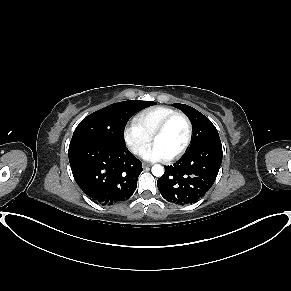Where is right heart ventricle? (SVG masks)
I'll use <instances>...</instances> for the list:
<instances>
[{
  "label": "right heart ventricle",
  "instance_id": "obj_1",
  "mask_svg": "<svg viewBox=\"0 0 291 291\" xmlns=\"http://www.w3.org/2000/svg\"><path fill=\"white\" fill-rule=\"evenodd\" d=\"M176 111L165 106H157L138 113L135 122L140 125L147 134L153 135L161 122Z\"/></svg>",
  "mask_w": 291,
  "mask_h": 291
}]
</instances>
